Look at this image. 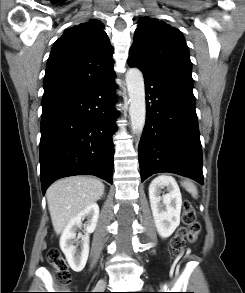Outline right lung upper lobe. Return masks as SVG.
Segmentation results:
<instances>
[{"label":"right lung upper lobe","mask_w":245,"mask_h":293,"mask_svg":"<svg viewBox=\"0 0 245 293\" xmlns=\"http://www.w3.org/2000/svg\"><path fill=\"white\" fill-rule=\"evenodd\" d=\"M103 27L93 19L65 30L54 43L44 78L43 108L115 75L113 48Z\"/></svg>","instance_id":"1"}]
</instances>
